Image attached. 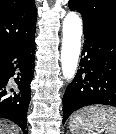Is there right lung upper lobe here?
Segmentation results:
<instances>
[{"label": "right lung upper lobe", "mask_w": 116, "mask_h": 134, "mask_svg": "<svg viewBox=\"0 0 116 134\" xmlns=\"http://www.w3.org/2000/svg\"><path fill=\"white\" fill-rule=\"evenodd\" d=\"M36 20L34 0H0V55L35 35Z\"/></svg>", "instance_id": "obj_1"}]
</instances>
